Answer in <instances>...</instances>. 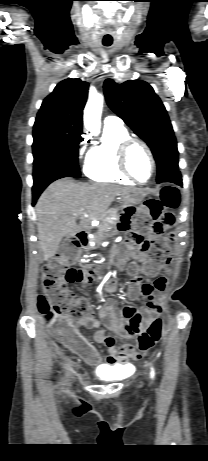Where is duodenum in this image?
I'll return each mask as SVG.
<instances>
[{"label":"duodenum","instance_id":"duodenum-1","mask_svg":"<svg viewBox=\"0 0 208 461\" xmlns=\"http://www.w3.org/2000/svg\"><path fill=\"white\" fill-rule=\"evenodd\" d=\"M78 236L82 241H85L86 238L89 236V232H86V231L80 232Z\"/></svg>","mask_w":208,"mask_h":461}]
</instances>
